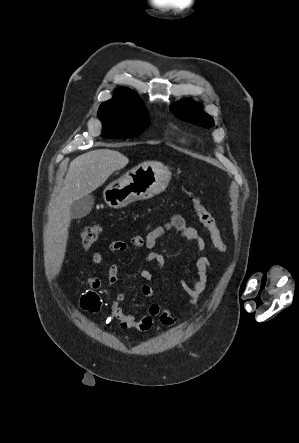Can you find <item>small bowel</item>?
<instances>
[{
  "mask_svg": "<svg viewBox=\"0 0 299 443\" xmlns=\"http://www.w3.org/2000/svg\"><path fill=\"white\" fill-rule=\"evenodd\" d=\"M169 232L177 233L180 238L192 241L197 251L201 252L206 248L205 241L199 235L198 231L186 225L181 215H173L165 225L149 226L144 236L136 235L131 238L129 243L122 240L113 241L110 244V250L112 252H124L129 246L135 248L145 246L149 250L146 256L147 261L153 263L157 268L162 269L165 265V258L161 253L153 249L157 246L159 238ZM93 262L97 265L102 264L104 262V254L100 252L95 253L93 255ZM195 268L198 274L197 281L194 283L180 282L181 288L189 296V303L193 310L197 308L202 292L207 285V272L210 268L209 258L207 256H200L195 262ZM118 275L119 267L112 265L108 268L105 280L95 276L88 277L87 284L90 289L82 294L80 299L81 307L92 313L99 312L102 303L97 291L103 288H112L118 281ZM139 277L144 281H151L153 274L148 269H142L139 271ZM141 293L145 297L153 299L147 313L141 318L127 314L122 309L121 303L126 299L125 292L121 291L113 295L110 316L118 321L121 329H136L141 332H146L155 325L168 327L176 322V316L169 308L161 306L155 299L154 290L149 285H143L141 287Z\"/></svg>",
  "mask_w": 299,
  "mask_h": 443,
  "instance_id": "c3829d8e",
  "label": "small bowel"
}]
</instances>
